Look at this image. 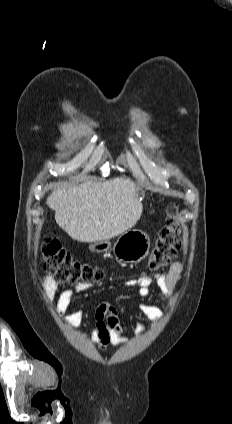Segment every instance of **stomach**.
<instances>
[{"label":"stomach","instance_id":"1","mask_svg":"<svg viewBox=\"0 0 232 424\" xmlns=\"http://www.w3.org/2000/svg\"><path fill=\"white\" fill-rule=\"evenodd\" d=\"M143 194L142 190H139ZM93 252L101 253L113 250L114 255L121 261L134 263L142 260L149 252V236L140 230H128L120 235L111 248V242L108 240L94 242L89 246Z\"/></svg>","mask_w":232,"mask_h":424}]
</instances>
